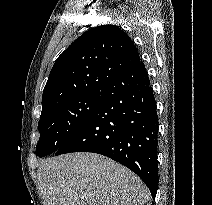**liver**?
Instances as JSON below:
<instances>
[{"instance_id": "liver-1", "label": "liver", "mask_w": 212, "mask_h": 205, "mask_svg": "<svg viewBox=\"0 0 212 205\" xmlns=\"http://www.w3.org/2000/svg\"><path fill=\"white\" fill-rule=\"evenodd\" d=\"M37 174L44 205H144L149 199L138 176L95 153L48 158Z\"/></svg>"}]
</instances>
